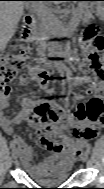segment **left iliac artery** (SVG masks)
I'll return each mask as SVG.
<instances>
[{
  "instance_id": "left-iliac-artery-1",
  "label": "left iliac artery",
  "mask_w": 104,
  "mask_h": 189,
  "mask_svg": "<svg viewBox=\"0 0 104 189\" xmlns=\"http://www.w3.org/2000/svg\"><path fill=\"white\" fill-rule=\"evenodd\" d=\"M86 150H87V152H90V150H91V145L90 144L86 145Z\"/></svg>"
}]
</instances>
